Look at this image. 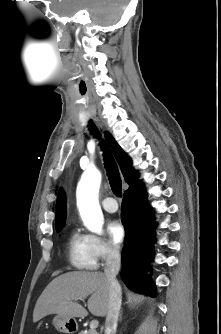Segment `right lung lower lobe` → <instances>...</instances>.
<instances>
[{"instance_id": "obj_1", "label": "right lung lower lobe", "mask_w": 221, "mask_h": 334, "mask_svg": "<svg viewBox=\"0 0 221 334\" xmlns=\"http://www.w3.org/2000/svg\"><path fill=\"white\" fill-rule=\"evenodd\" d=\"M121 219L126 229L121 277L131 290L154 296L155 288L145 273L152 258L155 223L141 182L124 193Z\"/></svg>"}]
</instances>
